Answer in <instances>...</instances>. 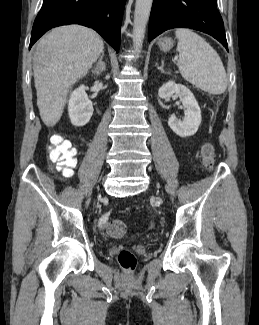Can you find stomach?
Returning a JSON list of instances; mask_svg holds the SVG:
<instances>
[{
	"instance_id": "0dacf381",
	"label": "stomach",
	"mask_w": 259,
	"mask_h": 325,
	"mask_svg": "<svg viewBox=\"0 0 259 325\" xmlns=\"http://www.w3.org/2000/svg\"><path fill=\"white\" fill-rule=\"evenodd\" d=\"M173 40L169 37H162L158 41L160 49L164 52L169 51L173 47Z\"/></svg>"
}]
</instances>
